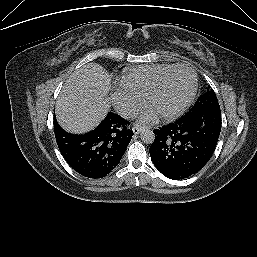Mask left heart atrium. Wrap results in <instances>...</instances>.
I'll return each instance as SVG.
<instances>
[{
    "mask_svg": "<svg viewBox=\"0 0 257 257\" xmlns=\"http://www.w3.org/2000/svg\"><path fill=\"white\" fill-rule=\"evenodd\" d=\"M156 118L157 113L153 109L149 108L141 113L139 116V122L141 124H150L155 122Z\"/></svg>",
    "mask_w": 257,
    "mask_h": 257,
    "instance_id": "left-heart-atrium-1",
    "label": "left heart atrium"
}]
</instances>
